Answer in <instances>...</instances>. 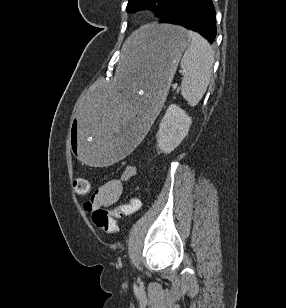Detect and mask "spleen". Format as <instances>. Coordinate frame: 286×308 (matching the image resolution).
I'll use <instances>...</instances> for the list:
<instances>
[{
	"label": "spleen",
	"instance_id": "3e777b00",
	"mask_svg": "<svg viewBox=\"0 0 286 308\" xmlns=\"http://www.w3.org/2000/svg\"><path fill=\"white\" fill-rule=\"evenodd\" d=\"M191 43L185 51L180 67L183 70L181 95L190 106H196L209 84L214 64L210 44L201 35L187 31Z\"/></svg>",
	"mask_w": 286,
	"mask_h": 308
}]
</instances>
